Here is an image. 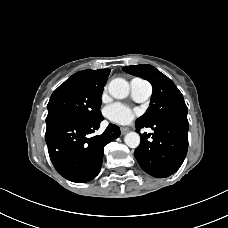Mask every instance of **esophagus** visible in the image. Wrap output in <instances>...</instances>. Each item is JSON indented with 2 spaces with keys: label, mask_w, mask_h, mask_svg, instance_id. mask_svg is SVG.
I'll return each mask as SVG.
<instances>
[{
  "label": "esophagus",
  "mask_w": 228,
  "mask_h": 228,
  "mask_svg": "<svg viewBox=\"0 0 228 228\" xmlns=\"http://www.w3.org/2000/svg\"><path fill=\"white\" fill-rule=\"evenodd\" d=\"M121 134L122 135H124V134H126L127 132H129V128H127V127H121Z\"/></svg>",
  "instance_id": "esophagus-1"
}]
</instances>
